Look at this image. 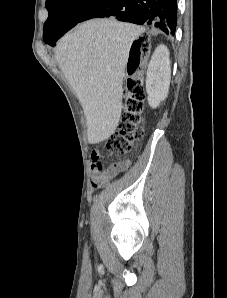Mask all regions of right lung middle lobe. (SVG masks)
<instances>
[{
  "mask_svg": "<svg viewBox=\"0 0 227 298\" xmlns=\"http://www.w3.org/2000/svg\"><path fill=\"white\" fill-rule=\"evenodd\" d=\"M100 0H46L49 12L44 24L43 38L46 41L53 32L68 31L99 2Z\"/></svg>",
  "mask_w": 227,
  "mask_h": 298,
  "instance_id": "obj_1",
  "label": "right lung middle lobe"
}]
</instances>
